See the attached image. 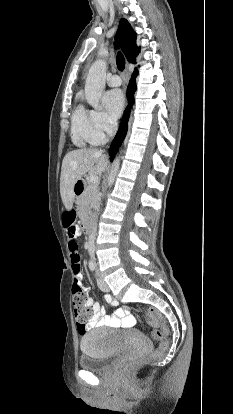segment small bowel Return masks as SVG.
<instances>
[{
    "label": "small bowel",
    "instance_id": "c3829d8e",
    "mask_svg": "<svg viewBox=\"0 0 233 414\" xmlns=\"http://www.w3.org/2000/svg\"><path fill=\"white\" fill-rule=\"evenodd\" d=\"M77 236L81 235L80 231L76 232ZM71 262H72V270L74 273V282L72 284L71 292L74 295L80 294L81 290L90 291L91 285L85 284L83 285L82 279V268L80 266V257L79 252L73 250L70 253ZM81 287V288H80ZM105 302L112 307H117L118 302L116 299L106 294ZM87 306L91 309L92 317L90 321V327H109V328H130L133 327L136 323L135 317L124 308H116L111 315H107L105 313L104 308L100 305V303L95 302L91 297H87Z\"/></svg>",
    "mask_w": 233,
    "mask_h": 414
}]
</instances>
